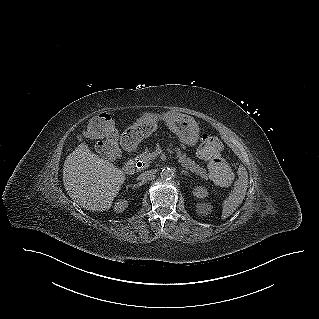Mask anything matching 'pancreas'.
Returning <instances> with one entry per match:
<instances>
[{"mask_svg":"<svg viewBox=\"0 0 319 319\" xmlns=\"http://www.w3.org/2000/svg\"><path fill=\"white\" fill-rule=\"evenodd\" d=\"M174 151L177 155L178 162L181 163L183 168L190 170L192 173L197 174L204 180H208V175L206 174V170L203 167H200L190 158H187L185 154L180 151L179 148H175ZM154 157V153H150L148 150H146L144 153L137 156L136 160L143 163V168H147L149 164L152 163Z\"/></svg>","mask_w":319,"mask_h":319,"instance_id":"pancreas-1","label":"pancreas"}]
</instances>
